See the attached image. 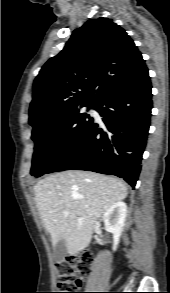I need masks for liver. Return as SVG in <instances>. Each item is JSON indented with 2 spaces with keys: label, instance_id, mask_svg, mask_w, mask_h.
I'll list each match as a JSON object with an SVG mask.
<instances>
[{
  "label": "liver",
  "instance_id": "1",
  "mask_svg": "<svg viewBox=\"0 0 170 293\" xmlns=\"http://www.w3.org/2000/svg\"><path fill=\"white\" fill-rule=\"evenodd\" d=\"M34 195L53 246L63 239L68 254L74 256L90 244L97 220L113 204L126 198L127 186L114 177L69 170L37 182ZM63 211L69 215L63 216Z\"/></svg>",
  "mask_w": 170,
  "mask_h": 293
}]
</instances>
